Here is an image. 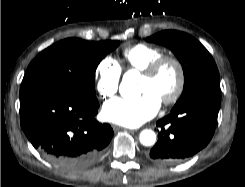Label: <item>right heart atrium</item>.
<instances>
[{"label": "right heart atrium", "instance_id": "1", "mask_svg": "<svg viewBox=\"0 0 245 187\" xmlns=\"http://www.w3.org/2000/svg\"><path fill=\"white\" fill-rule=\"evenodd\" d=\"M121 68L111 57H104L96 68V92L104 100L113 98L119 88Z\"/></svg>", "mask_w": 245, "mask_h": 187}]
</instances>
